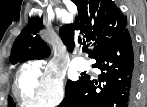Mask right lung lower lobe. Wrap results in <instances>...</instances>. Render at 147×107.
Masks as SVG:
<instances>
[{
	"mask_svg": "<svg viewBox=\"0 0 147 107\" xmlns=\"http://www.w3.org/2000/svg\"><path fill=\"white\" fill-rule=\"evenodd\" d=\"M93 59V67L101 70L98 80L80 78L59 107H131L138 71L128 29Z\"/></svg>",
	"mask_w": 147,
	"mask_h": 107,
	"instance_id": "right-lung-lower-lobe-1",
	"label": "right lung lower lobe"
}]
</instances>
